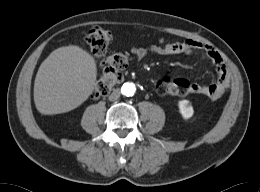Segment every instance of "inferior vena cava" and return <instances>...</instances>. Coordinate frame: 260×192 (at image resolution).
Instances as JSON below:
<instances>
[{"instance_id": "obj_1", "label": "inferior vena cava", "mask_w": 260, "mask_h": 192, "mask_svg": "<svg viewBox=\"0 0 260 192\" xmlns=\"http://www.w3.org/2000/svg\"><path fill=\"white\" fill-rule=\"evenodd\" d=\"M120 97V91L118 89L114 90L110 96H109V100L110 101H115Z\"/></svg>"}]
</instances>
